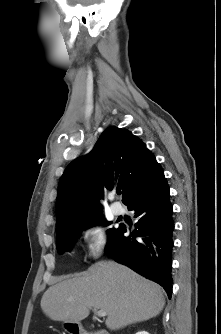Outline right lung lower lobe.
I'll use <instances>...</instances> for the list:
<instances>
[{
	"mask_svg": "<svg viewBox=\"0 0 221 334\" xmlns=\"http://www.w3.org/2000/svg\"><path fill=\"white\" fill-rule=\"evenodd\" d=\"M169 195L163 174L133 198L127 206L139 218L137 229L124 236L126 227L121 226L106 252L116 262L160 284L171 298L174 220Z\"/></svg>",
	"mask_w": 221,
	"mask_h": 334,
	"instance_id": "1",
	"label": "right lung lower lobe"
}]
</instances>
